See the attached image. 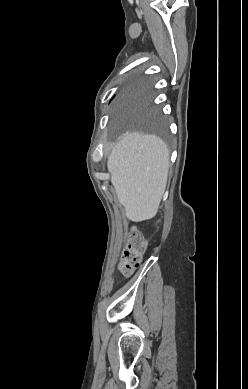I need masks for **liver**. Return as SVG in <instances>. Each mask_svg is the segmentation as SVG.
Segmentation results:
<instances>
[{
	"mask_svg": "<svg viewBox=\"0 0 248 389\" xmlns=\"http://www.w3.org/2000/svg\"><path fill=\"white\" fill-rule=\"evenodd\" d=\"M169 157L167 145L155 135L128 132L114 145L107 167L118 200L131 220H147L157 213L166 188Z\"/></svg>",
	"mask_w": 248,
	"mask_h": 389,
	"instance_id": "6515ba94",
	"label": "liver"
}]
</instances>
